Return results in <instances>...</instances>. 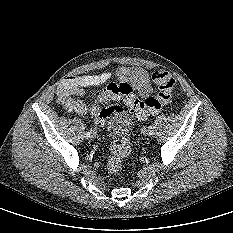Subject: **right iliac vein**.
Here are the masks:
<instances>
[{
  "mask_svg": "<svg viewBox=\"0 0 233 233\" xmlns=\"http://www.w3.org/2000/svg\"><path fill=\"white\" fill-rule=\"evenodd\" d=\"M96 135H97V132L94 129H92L91 130V136L92 137H96Z\"/></svg>",
  "mask_w": 233,
  "mask_h": 233,
  "instance_id": "1",
  "label": "right iliac vein"
}]
</instances>
